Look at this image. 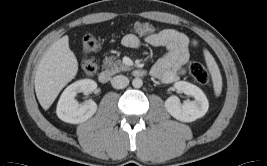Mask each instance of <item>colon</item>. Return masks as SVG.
<instances>
[{"label":"colon","mask_w":267,"mask_h":166,"mask_svg":"<svg viewBox=\"0 0 267 166\" xmlns=\"http://www.w3.org/2000/svg\"><path fill=\"white\" fill-rule=\"evenodd\" d=\"M134 31L139 35H150L156 31V28L148 23H135ZM101 47L99 38L93 34H87L82 39V50L85 55H90L98 51ZM82 71L85 75H94L97 71V62L93 57H86L81 65ZM188 71L190 75L200 84L209 85L210 76L206 68L198 62H190L188 64Z\"/></svg>","instance_id":"obj_1"}]
</instances>
